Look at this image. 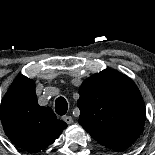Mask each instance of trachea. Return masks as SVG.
I'll return each instance as SVG.
<instances>
[{
	"label": "trachea",
	"mask_w": 155,
	"mask_h": 155,
	"mask_svg": "<svg viewBox=\"0 0 155 155\" xmlns=\"http://www.w3.org/2000/svg\"><path fill=\"white\" fill-rule=\"evenodd\" d=\"M55 110L59 115H64L68 110V104L64 97H58L55 101Z\"/></svg>",
	"instance_id": "3493384b"
}]
</instances>
